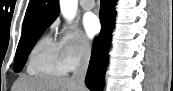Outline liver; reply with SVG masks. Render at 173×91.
I'll return each instance as SVG.
<instances>
[{
  "label": "liver",
  "mask_w": 173,
  "mask_h": 91,
  "mask_svg": "<svg viewBox=\"0 0 173 91\" xmlns=\"http://www.w3.org/2000/svg\"><path fill=\"white\" fill-rule=\"evenodd\" d=\"M12 91H87L81 90L71 78L19 77Z\"/></svg>",
  "instance_id": "liver-1"
}]
</instances>
